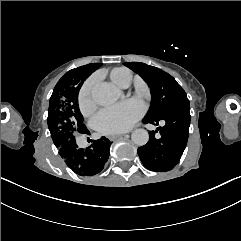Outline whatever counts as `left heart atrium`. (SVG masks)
I'll return each mask as SVG.
<instances>
[{
	"label": "left heart atrium",
	"mask_w": 241,
	"mask_h": 241,
	"mask_svg": "<svg viewBox=\"0 0 241 241\" xmlns=\"http://www.w3.org/2000/svg\"><path fill=\"white\" fill-rule=\"evenodd\" d=\"M142 114V106L133 109L119 105L100 110L92 118V123L102 134H121L129 131Z\"/></svg>",
	"instance_id": "obj_1"
}]
</instances>
